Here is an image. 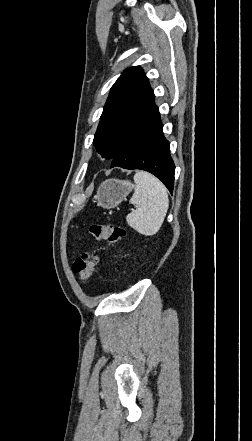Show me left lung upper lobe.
Wrapping results in <instances>:
<instances>
[{
	"label": "left lung upper lobe",
	"mask_w": 252,
	"mask_h": 441,
	"mask_svg": "<svg viewBox=\"0 0 252 441\" xmlns=\"http://www.w3.org/2000/svg\"><path fill=\"white\" fill-rule=\"evenodd\" d=\"M152 89L139 66L125 70L111 88L93 144L112 160L130 126L146 106Z\"/></svg>",
	"instance_id": "left-lung-upper-lobe-1"
}]
</instances>
